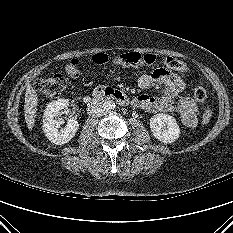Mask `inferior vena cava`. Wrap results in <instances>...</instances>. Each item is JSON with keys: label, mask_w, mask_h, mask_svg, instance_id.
<instances>
[{"label": "inferior vena cava", "mask_w": 233, "mask_h": 233, "mask_svg": "<svg viewBox=\"0 0 233 233\" xmlns=\"http://www.w3.org/2000/svg\"><path fill=\"white\" fill-rule=\"evenodd\" d=\"M105 111V104L93 101L87 105V112L92 117H100Z\"/></svg>", "instance_id": "obj_1"}]
</instances>
